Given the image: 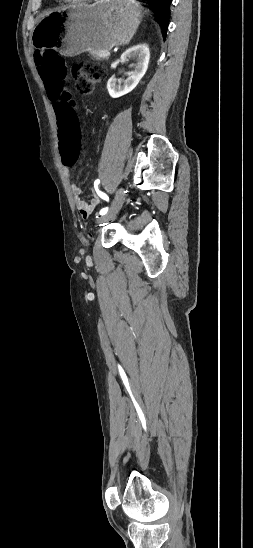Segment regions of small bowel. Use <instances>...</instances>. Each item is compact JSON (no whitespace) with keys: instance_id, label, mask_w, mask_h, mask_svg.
<instances>
[{"instance_id":"obj_1","label":"small bowel","mask_w":253,"mask_h":548,"mask_svg":"<svg viewBox=\"0 0 253 548\" xmlns=\"http://www.w3.org/2000/svg\"><path fill=\"white\" fill-rule=\"evenodd\" d=\"M59 60H63L62 58H60ZM37 63H39V61L37 60ZM41 75V74H40ZM54 109V108H53ZM60 130V128H59ZM77 144H78V139H77ZM69 166H66V172L69 176ZM71 192L73 194V197H74V203H75V206L77 208V210L79 211V213L81 214V216L84 218V219H87L91 214L92 212L94 211V209L98 206L99 204V200L94 198L91 200V202H86L85 200H83L80 196L81 194V189L80 187L75 184V183H72L71 184Z\"/></svg>"}]
</instances>
